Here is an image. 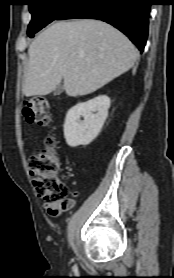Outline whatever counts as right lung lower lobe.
Returning <instances> with one entry per match:
<instances>
[{
	"mask_svg": "<svg viewBox=\"0 0 174 278\" xmlns=\"http://www.w3.org/2000/svg\"><path fill=\"white\" fill-rule=\"evenodd\" d=\"M150 6V0H76L56 20L92 18L105 21L122 31L143 51Z\"/></svg>",
	"mask_w": 174,
	"mask_h": 278,
	"instance_id": "98d812e1",
	"label": "right lung lower lobe"
}]
</instances>
